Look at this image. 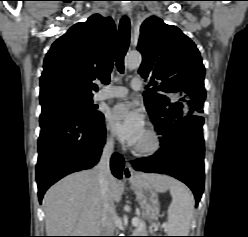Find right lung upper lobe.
<instances>
[{
	"instance_id": "cb5924a9",
	"label": "right lung upper lobe",
	"mask_w": 248,
	"mask_h": 237,
	"mask_svg": "<svg viewBox=\"0 0 248 237\" xmlns=\"http://www.w3.org/2000/svg\"><path fill=\"white\" fill-rule=\"evenodd\" d=\"M116 27L94 14L72 26L48 51L40 78V103L60 97L92 99L93 82L108 84L114 62Z\"/></svg>"
}]
</instances>
